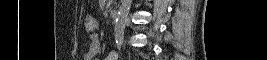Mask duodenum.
<instances>
[{
	"label": "duodenum",
	"instance_id": "1",
	"mask_svg": "<svg viewBox=\"0 0 267 60\" xmlns=\"http://www.w3.org/2000/svg\"><path fill=\"white\" fill-rule=\"evenodd\" d=\"M110 15H111V17L114 19V18H117L118 17V10H116V9H112L111 11H110Z\"/></svg>",
	"mask_w": 267,
	"mask_h": 60
}]
</instances>
